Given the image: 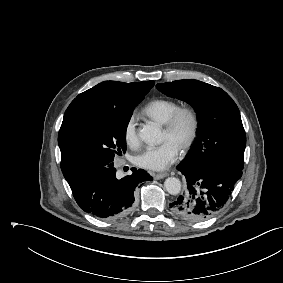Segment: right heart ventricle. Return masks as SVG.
I'll list each match as a JSON object with an SVG mask.
<instances>
[{
    "mask_svg": "<svg viewBox=\"0 0 283 283\" xmlns=\"http://www.w3.org/2000/svg\"><path fill=\"white\" fill-rule=\"evenodd\" d=\"M180 105L173 100L158 98L149 102L142 110L148 118L165 125Z\"/></svg>",
    "mask_w": 283,
    "mask_h": 283,
    "instance_id": "e07e8e85",
    "label": "right heart ventricle"
}]
</instances>
